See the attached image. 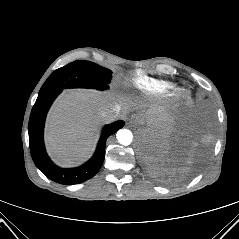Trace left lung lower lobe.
Instances as JSON below:
<instances>
[{"instance_id": "0a47b994", "label": "left lung lower lobe", "mask_w": 239, "mask_h": 239, "mask_svg": "<svg viewBox=\"0 0 239 239\" xmlns=\"http://www.w3.org/2000/svg\"><path fill=\"white\" fill-rule=\"evenodd\" d=\"M171 145V139L166 135H149L142 140L140 145L141 156L152 175H162V168Z\"/></svg>"}]
</instances>
